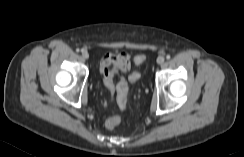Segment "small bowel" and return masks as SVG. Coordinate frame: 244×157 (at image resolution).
I'll list each match as a JSON object with an SVG mask.
<instances>
[{
    "label": "small bowel",
    "instance_id": "small-bowel-1",
    "mask_svg": "<svg viewBox=\"0 0 244 157\" xmlns=\"http://www.w3.org/2000/svg\"><path fill=\"white\" fill-rule=\"evenodd\" d=\"M132 63V56L127 52L108 53L100 62V71L103 73L107 66H116L121 72L129 71Z\"/></svg>",
    "mask_w": 244,
    "mask_h": 157
}]
</instances>
